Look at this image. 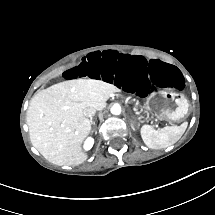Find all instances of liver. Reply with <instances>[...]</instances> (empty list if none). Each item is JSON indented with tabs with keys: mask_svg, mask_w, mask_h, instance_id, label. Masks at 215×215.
<instances>
[{
	"mask_svg": "<svg viewBox=\"0 0 215 215\" xmlns=\"http://www.w3.org/2000/svg\"><path fill=\"white\" fill-rule=\"evenodd\" d=\"M116 86L95 79H73L35 94L27 110L30 140L41 155L56 165H79L86 161L82 143L91 124L83 109L106 107Z\"/></svg>",
	"mask_w": 215,
	"mask_h": 215,
	"instance_id": "liver-1",
	"label": "liver"
}]
</instances>
